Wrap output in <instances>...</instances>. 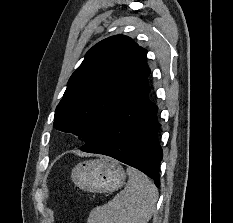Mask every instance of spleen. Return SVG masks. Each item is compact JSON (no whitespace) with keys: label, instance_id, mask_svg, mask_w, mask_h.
Returning <instances> with one entry per match:
<instances>
[{"label":"spleen","instance_id":"obj_1","mask_svg":"<svg viewBox=\"0 0 233 223\" xmlns=\"http://www.w3.org/2000/svg\"><path fill=\"white\" fill-rule=\"evenodd\" d=\"M124 189L111 201L91 209L87 223H147L155 211L157 187L147 175L129 169Z\"/></svg>","mask_w":233,"mask_h":223}]
</instances>
